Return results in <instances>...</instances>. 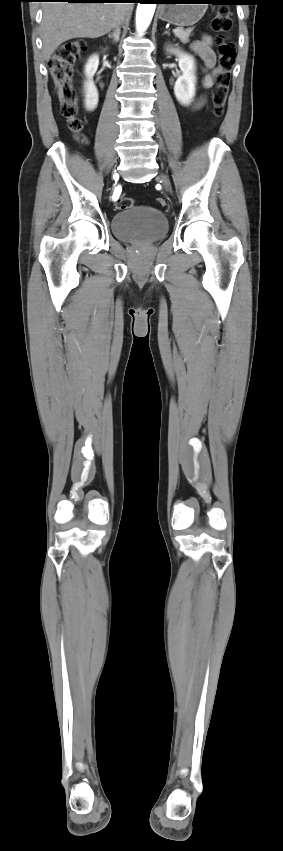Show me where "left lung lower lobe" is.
<instances>
[{"mask_svg":"<svg viewBox=\"0 0 283 851\" xmlns=\"http://www.w3.org/2000/svg\"><path fill=\"white\" fill-rule=\"evenodd\" d=\"M167 0H151L152 3H165ZM217 2H222L223 4L235 5L239 0H217Z\"/></svg>","mask_w":283,"mask_h":851,"instance_id":"obj_1","label":"left lung lower lobe"}]
</instances>
